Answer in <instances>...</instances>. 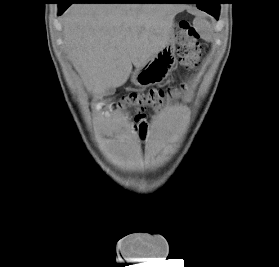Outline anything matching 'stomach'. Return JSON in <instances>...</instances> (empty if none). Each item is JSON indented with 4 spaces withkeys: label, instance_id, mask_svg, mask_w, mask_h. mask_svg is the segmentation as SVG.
I'll use <instances>...</instances> for the list:
<instances>
[{
    "label": "stomach",
    "instance_id": "obj_1",
    "mask_svg": "<svg viewBox=\"0 0 279 267\" xmlns=\"http://www.w3.org/2000/svg\"><path fill=\"white\" fill-rule=\"evenodd\" d=\"M175 61V45L173 39H170L146 64L135 69L131 82L143 88L159 84L169 76Z\"/></svg>",
    "mask_w": 279,
    "mask_h": 267
}]
</instances>
